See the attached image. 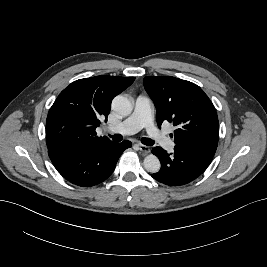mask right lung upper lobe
Here are the masks:
<instances>
[{
	"mask_svg": "<svg viewBox=\"0 0 267 267\" xmlns=\"http://www.w3.org/2000/svg\"><path fill=\"white\" fill-rule=\"evenodd\" d=\"M134 77L96 76L72 82L57 97L46 120L48 151L73 150L110 143L96 136L107 121L113 98L129 87Z\"/></svg>",
	"mask_w": 267,
	"mask_h": 267,
	"instance_id": "1",
	"label": "right lung upper lobe"
}]
</instances>
